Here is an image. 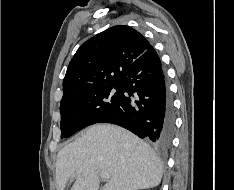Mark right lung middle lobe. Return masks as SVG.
<instances>
[{
	"instance_id": "dd1d6c3e",
	"label": "right lung middle lobe",
	"mask_w": 234,
	"mask_h": 190,
	"mask_svg": "<svg viewBox=\"0 0 234 190\" xmlns=\"http://www.w3.org/2000/svg\"><path fill=\"white\" fill-rule=\"evenodd\" d=\"M120 92V86L114 84L81 93L61 102V138L98 123L115 107Z\"/></svg>"
}]
</instances>
